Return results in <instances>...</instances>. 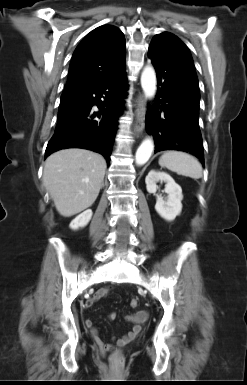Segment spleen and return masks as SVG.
Returning a JSON list of instances; mask_svg holds the SVG:
<instances>
[{"label": "spleen", "instance_id": "1", "mask_svg": "<svg viewBox=\"0 0 247 385\" xmlns=\"http://www.w3.org/2000/svg\"><path fill=\"white\" fill-rule=\"evenodd\" d=\"M159 164L177 174L193 179H199L203 176L200 162L185 152L167 151L160 157Z\"/></svg>", "mask_w": 247, "mask_h": 385}]
</instances>
